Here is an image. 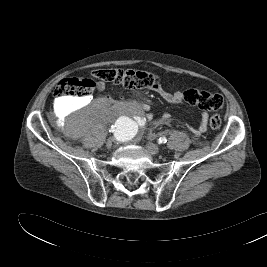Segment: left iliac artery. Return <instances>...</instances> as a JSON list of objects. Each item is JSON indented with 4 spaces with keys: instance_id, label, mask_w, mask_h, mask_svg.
<instances>
[{
    "instance_id": "1",
    "label": "left iliac artery",
    "mask_w": 267,
    "mask_h": 267,
    "mask_svg": "<svg viewBox=\"0 0 267 267\" xmlns=\"http://www.w3.org/2000/svg\"><path fill=\"white\" fill-rule=\"evenodd\" d=\"M167 142V138L166 137H160L159 139H158V143L159 144H164V143H166Z\"/></svg>"
}]
</instances>
